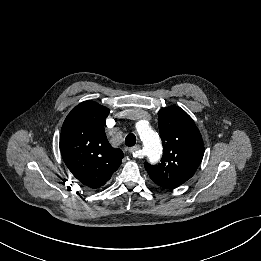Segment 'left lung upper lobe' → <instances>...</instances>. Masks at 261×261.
Here are the masks:
<instances>
[{"instance_id":"obj_1","label":"left lung upper lobe","mask_w":261,"mask_h":261,"mask_svg":"<svg viewBox=\"0 0 261 261\" xmlns=\"http://www.w3.org/2000/svg\"><path fill=\"white\" fill-rule=\"evenodd\" d=\"M163 156L158 165L145 163L150 178L165 189H174L190 179L204 155L201 134L192 118L180 107L158 113Z\"/></svg>"}]
</instances>
